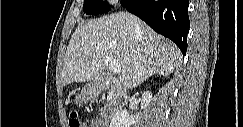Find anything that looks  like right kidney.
Instances as JSON below:
<instances>
[{
  "instance_id": "right-kidney-1",
  "label": "right kidney",
  "mask_w": 243,
  "mask_h": 127,
  "mask_svg": "<svg viewBox=\"0 0 243 127\" xmlns=\"http://www.w3.org/2000/svg\"><path fill=\"white\" fill-rule=\"evenodd\" d=\"M152 99V93L150 91H145L142 94L141 109H146ZM138 118L139 114L130 116L126 110H121L112 117L110 127H130Z\"/></svg>"
}]
</instances>
